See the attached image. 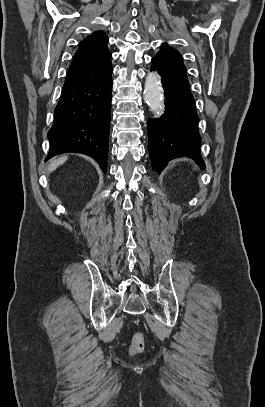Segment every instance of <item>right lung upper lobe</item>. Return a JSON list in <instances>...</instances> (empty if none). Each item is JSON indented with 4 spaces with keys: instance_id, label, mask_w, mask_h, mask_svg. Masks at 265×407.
Masks as SVG:
<instances>
[{
    "instance_id": "1",
    "label": "right lung upper lobe",
    "mask_w": 265,
    "mask_h": 407,
    "mask_svg": "<svg viewBox=\"0 0 265 407\" xmlns=\"http://www.w3.org/2000/svg\"><path fill=\"white\" fill-rule=\"evenodd\" d=\"M107 42L108 37L103 31H96L86 37L80 42L68 73L80 65L94 62L109 53Z\"/></svg>"
}]
</instances>
